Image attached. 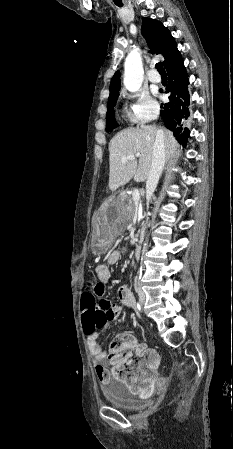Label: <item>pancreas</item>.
Here are the masks:
<instances>
[{
  "label": "pancreas",
  "mask_w": 233,
  "mask_h": 449,
  "mask_svg": "<svg viewBox=\"0 0 233 449\" xmlns=\"http://www.w3.org/2000/svg\"><path fill=\"white\" fill-rule=\"evenodd\" d=\"M119 203H120V211L123 218H131L134 216L135 205L130 195L121 196Z\"/></svg>",
  "instance_id": "cf45deb5"
}]
</instances>
